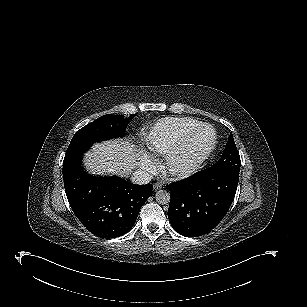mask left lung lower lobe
<instances>
[{
	"label": "left lung lower lobe",
	"instance_id": "left-lung-lower-lobe-1",
	"mask_svg": "<svg viewBox=\"0 0 307 307\" xmlns=\"http://www.w3.org/2000/svg\"><path fill=\"white\" fill-rule=\"evenodd\" d=\"M238 179L239 175L230 171L205 169L169 184L168 218L173 229L189 237L209 233L228 212Z\"/></svg>",
	"mask_w": 307,
	"mask_h": 307
}]
</instances>
